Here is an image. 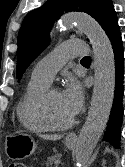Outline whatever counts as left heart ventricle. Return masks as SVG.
I'll return each instance as SVG.
<instances>
[{"label":"left heart ventricle","instance_id":"obj_1","mask_svg":"<svg viewBox=\"0 0 125 167\" xmlns=\"http://www.w3.org/2000/svg\"><path fill=\"white\" fill-rule=\"evenodd\" d=\"M49 112L56 123H64L73 117L64 105L59 91H54L50 95Z\"/></svg>","mask_w":125,"mask_h":167}]
</instances>
